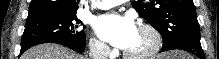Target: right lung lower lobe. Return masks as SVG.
I'll return each mask as SVG.
<instances>
[{"mask_svg":"<svg viewBox=\"0 0 219 59\" xmlns=\"http://www.w3.org/2000/svg\"><path fill=\"white\" fill-rule=\"evenodd\" d=\"M57 44H61V45H64L76 52H79V53H83L84 51V47L86 45H81V44H77V43H73V42H69V41H60V42H56ZM25 50H21L20 51V55L24 52Z\"/></svg>","mask_w":219,"mask_h":59,"instance_id":"right-lung-lower-lobe-1","label":"right lung lower lobe"}]
</instances>
